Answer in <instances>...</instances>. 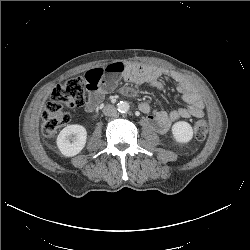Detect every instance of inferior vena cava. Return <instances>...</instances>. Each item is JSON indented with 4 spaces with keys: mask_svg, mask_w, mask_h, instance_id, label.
I'll return each instance as SVG.
<instances>
[{
    "mask_svg": "<svg viewBox=\"0 0 250 250\" xmlns=\"http://www.w3.org/2000/svg\"><path fill=\"white\" fill-rule=\"evenodd\" d=\"M103 113L106 116H114V115H116L117 110H116L115 106H113V105H106L103 109Z\"/></svg>",
    "mask_w": 250,
    "mask_h": 250,
    "instance_id": "602c4592",
    "label": "inferior vena cava"
}]
</instances>
